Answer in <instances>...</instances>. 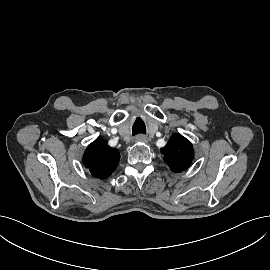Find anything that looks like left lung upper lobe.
Segmentation results:
<instances>
[{
    "mask_svg": "<svg viewBox=\"0 0 270 270\" xmlns=\"http://www.w3.org/2000/svg\"><path fill=\"white\" fill-rule=\"evenodd\" d=\"M164 161L173 172L187 169L193 159L192 144L181 134H174L167 145L161 149Z\"/></svg>",
    "mask_w": 270,
    "mask_h": 270,
    "instance_id": "obj_1",
    "label": "left lung upper lobe"
}]
</instances>
